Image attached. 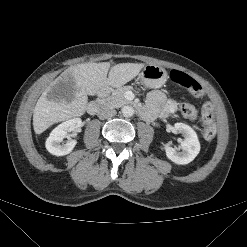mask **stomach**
Here are the masks:
<instances>
[{
  "label": "stomach",
  "mask_w": 247,
  "mask_h": 247,
  "mask_svg": "<svg viewBox=\"0 0 247 247\" xmlns=\"http://www.w3.org/2000/svg\"><path fill=\"white\" fill-rule=\"evenodd\" d=\"M138 80L150 88H159L167 81V72L157 65H147L138 76Z\"/></svg>",
  "instance_id": "0dacf381"
}]
</instances>
